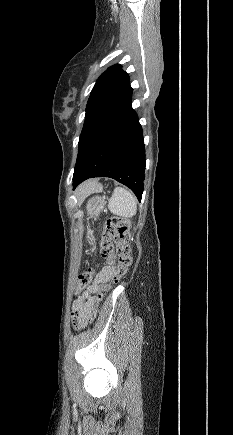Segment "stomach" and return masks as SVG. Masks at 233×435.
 <instances>
[{
  "label": "stomach",
  "mask_w": 233,
  "mask_h": 435,
  "mask_svg": "<svg viewBox=\"0 0 233 435\" xmlns=\"http://www.w3.org/2000/svg\"><path fill=\"white\" fill-rule=\"evenodd\" d=\"M106 202L103 197L95 196L88 200L86 210L89 218H97L100 212L104 209ZM90 234H92L89 231Z\"/></svg>",
  "instance_id": "obj_1"
}]
</instances>
